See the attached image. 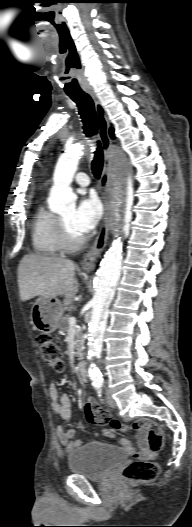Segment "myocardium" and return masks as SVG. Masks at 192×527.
I'll return each mask as SVG.
<instances>
[{
    "label": "myocardium",
    "instance_id": "myocardium-1",
    "mask_svg": "<svg viewBox=\"0 0 192 527\" xmlns=\"http://www.w3.org/2000/svg\"><path fill=\"white\" fill-rule=\"evenodd\" d=\"M57 228L62 249L74 251L81 248L85 243V238L83 236H80L77 239H74L70 236L64 222L60 217L57 218Z\"/></svg>",
    "mask_w": 192,
    "mask_h": 527
}]
</instances>
